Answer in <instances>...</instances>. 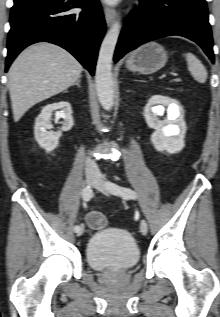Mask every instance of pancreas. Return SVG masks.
Instances as JSON below:
<instances>
[{
    "instance_id": "1",
    "label": "pancreas",
    "mask_w": 220,
    "mask_h": 317,
    "mask_svg": "<svg viewBox=\"0 0 220 317\" xmlns=\"http://www.w3.org/2000/svg\"><path fill=\"white\" fill-rule=\"evenodd\" d=\"M175 81H176V82H179L180 80H179V79H176Z\"/></svg>"
}]
</instances>
